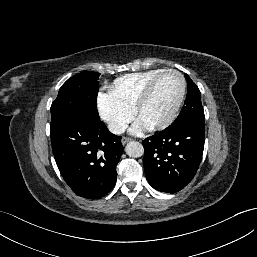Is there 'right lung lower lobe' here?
I'll return each instance as SVG.
<instances>
[{
    "label": "right lung lower lobe",
    "instance_id": "1",
    "mask_svg": "<svg viewBox=\"0 0 257 257\" xmlns=\"http://www.w3.org/2000/svg\"><path fill=\"white\" fill-rule=\"evenodd\" d=\"M58 169L78 196L99 199L116 184V166L124 151L121 137L102 121L71 119L50 130Z\"/></svg>",
    "mask_w": 257,
    "mask_h": 257
}]
</instances>
